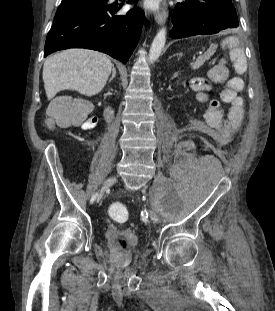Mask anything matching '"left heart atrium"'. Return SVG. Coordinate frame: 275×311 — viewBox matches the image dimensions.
Returning <instances> with one entry per match:
<instances>
[{
	"mask_svg": "<svg viewBox=\"0 0 275 311\" xmlns=\"http://www.w3.org/2000/svg\"><path fill=\"white\" fill-rule=\"evenodd\" d=\"M158 0H147V6L154 8L157 5Z\"/></svg>",
	"mask_w": 275,
	"mask_h": 311,
	"instance_id": "obj_1",
	"label": "left heart atrium"
}]
</instances>
